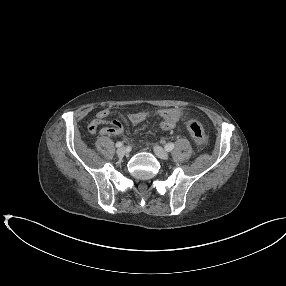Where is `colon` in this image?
<instances>
[{"label":"colon","mask_w":286,"mask_h":286,"mask_svg":"<svg viewBox=\"0 0 286 286\" xmlns=\"http://www.w3.org/2000/svg\"><path fill=\"white\" fill-rule=\"evenodd\" d=\"M187 127L196 144L204 146L207 139L203 126L197 121H190L188 122Z\"/></svg>","instance_id":"colon-1"}]
</instances>
